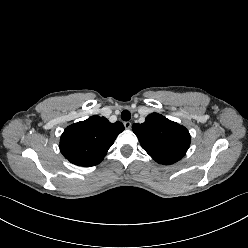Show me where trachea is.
I'll use <instances>...</instances> for the list:
<instances>
[{
    "instance_id": "1",
    "label": "trachea",
    "mask_w": 248,
    "mask_h": 248,
    "mask_svg": "<svg viewBox=\"0 0 248 248\" xmlns=\"http://www.w3.org/2000/svg\"><path fill=\"white\" fill-rule=\"evenodd\" d=\"M121 118H122L123 121H129L130 118H131V113L128 110H124L121 113Z\"/></svg>"
}]
</instances>
